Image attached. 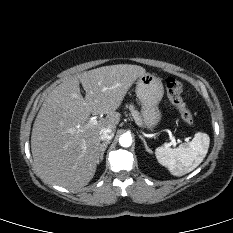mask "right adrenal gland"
I'll list each match as a JSON object with an SVG mask.
<instances>
[{
	"label": "right adrenal gland",
	"mask_w": 233,
	"mask_h": 233,
	"mask_svg": "<svg viewBox=\"0 0 233 233\" xmlns=\"http://www.w3.org/2000/svg\"><path fill=\"white\" fill-rule=\"evenodd\" d=\"M108 144H110V141H105L101 144L99 162H101L103 160V156H104V153L107 149Z\"/></svg>",
	"instance_id": "2a0ac1e0"
}]
</instances>
